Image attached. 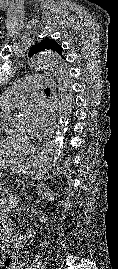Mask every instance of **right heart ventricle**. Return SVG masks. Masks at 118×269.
<instances>
[{
  "mask_svg": "<svg viewBox=\"0 0 118 269\" xmlns=\"http://www.w3.org/2000/svg\"><path fill=\"white\" fill-rule=\"evenodd\" d=\"M8 112L0 109V116ZM21 150L20 145L15 141L14 135L9 133L0 132V155L3 154H16Z\"/></svg>",
  "mask_w": 118,
  "mask_h": 269,
  "instance_id": "right-heart-ventricle-1",
  "label": "right heart ventricle"
}]
</instances>
